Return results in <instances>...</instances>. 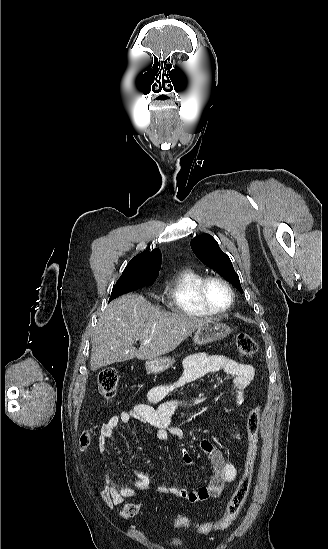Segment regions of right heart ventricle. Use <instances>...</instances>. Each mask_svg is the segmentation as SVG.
I'll return each instance as SVG.
<instances>
[{"label":"right heart ventricle","mask_w":328,"mask_h":549,"mask_svg":"<svg viewBox=\"0 0 328 549\" xmlns=\"http://www.w3.org/2000/svg\"><path fill=\"white\" fill-rule=\"evenodd\" d=\"M206 275L193 268L185 269L173 275L166 283L159 298L161 303H175L178 319H207L197 306L200 305L198 288Z\"/></svg>","instance_id":"obj_1"}]
</instances>
